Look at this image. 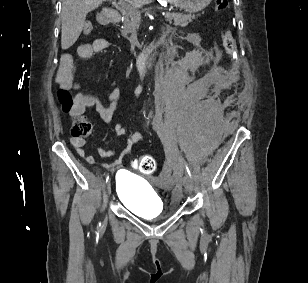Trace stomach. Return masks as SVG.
<instances>
[{
    "instance_id": "1",
    "label": "stomach",
    "mask_w": 308,
    "mask_h": 283,
    "mask_svg": "<svg viewBox=\"0 0 308 283\" xmlns=\"http://www.w3.org/2000/svg\"><path fill=\"white\" fill-rule=\"evenodd\" d=\"M188 13H195L207 7L212 0H167Z\"/></svg>"
}]
</instances>
